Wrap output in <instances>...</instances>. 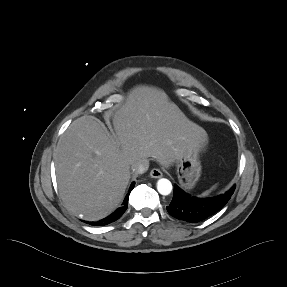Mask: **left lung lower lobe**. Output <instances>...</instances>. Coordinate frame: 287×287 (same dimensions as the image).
I'll list each match as a JSON object with an SVG mask.
<instances>
[{
    "instance_id": "left-lung-lower-lobe-1",
    "label": "left lung lower lobe",
    "mask_w": 287,
    "mask_h": 287,
    "mask_svg": "<svg viewBox=\"0 0 287 287\" xmlns=\"http://www.w3.org/2000/svg\"><path fill=\"white\" fill-rule=\"evenodd\" d=\"M235 190V185L225 194L214 198L191 197L178 186H174L173 199L167 211L176 219L187 222H199L216 213L231 198Z\"/></svg>"
}]
</instances>
